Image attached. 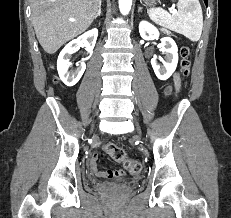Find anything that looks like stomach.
<instances>
[{"instance_id": "1", "label": "stomach", "mask_w": 231, "mask_h": 218, "mask_svg": "<svg viewBox=\"0 0 231 218\" xmlns=\"http://www.w3.org/2000/svg\"><path fill=\"white\" fill-rule=\"evenodd\" d=\"M146 1V3H147V0H145ZM150 1V3H155V0H149Z\"/></svg>"}]
</instances>
